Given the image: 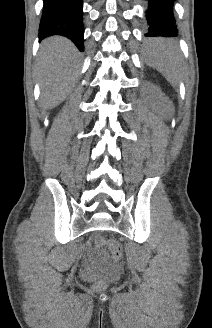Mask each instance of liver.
Listing matches in <instances>:
<instances>
[{"label": "liver", "mask_w": 212, "mask_h": 328, "mask_svg": "<svg viewBox=\"0 0 212 328\" xmlns=\"http://www.w3.org/2000/svg\"><path fill=\"white\" fill-rule=\"evenodd\" d=\"M76 55V48L64 37H51L43 42L38 62V77L44 109L56 107L69 93L75 79Z\"/></svg>", "instance_id": "6515ba94"}]
</instances>
